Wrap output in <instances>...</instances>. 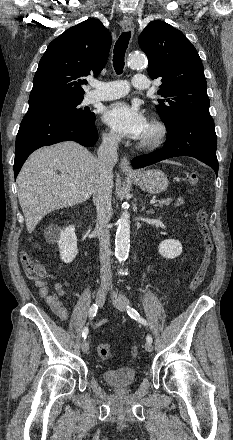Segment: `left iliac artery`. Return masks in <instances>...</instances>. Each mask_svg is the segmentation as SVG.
<instances>
[{"mask_svg": "<svg viewBox=\"0 0 233 440\" xmlns=\"http://www.w3.org/2000/svg\"><path fill=\"white\" fill-rule=\"evenodd\" d=\"M127 313L129 314V316L131 318L139 321L143 325H147L146 320L144 318L140 317L139 313L134 308H131V307L127 306ZM146 340H147V342H151L152 343V336L151 335H147Z\"/></svg>", "mask_w": 233, "mask_h": 440, "instance_id": "1", "label": "left iliac artery"}]
</instances>
